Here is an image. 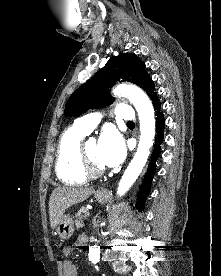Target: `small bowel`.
<instances>
[{"mask_svg": "<svg viewBox=\"0 0 221 276\" xmlns=\"http://www.w3.org/2000/svg\"><path fill=\"white\" fill-rule=\"evenodd\" d=\"M87 241L85 236H80L77 240L75 246H83ZM72 247H67L64 249V254L68 255L72 251ZM64 276H78V269L75 264L71 261L66 260L63 263Z\"/></svg>", "mask_w": 221, "mask_h": 276, "instance_id": "obj_1", "label": "small bowel"}]
</instances>
